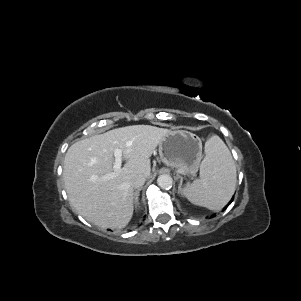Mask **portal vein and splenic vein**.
<instances>
[{
    "label": "portal vein and splenic vein",
    "mask_w": 301,
    "mask_h": 301,
    "mask_svg": "<svg viewBox=\"0 0 301 301\" xmlns=\"http://www.w3.org/2000/svg\"><path fill=\"white\" fill-rule=\"evenodd\" d=\"M114 157L115 161L113 163V172L106 174L104 179L108 180L114 178L118 173L121 172V164H122V151L120 149H114Z\"/></svg>",
    "instance_id": "1"
}]
</instances>
